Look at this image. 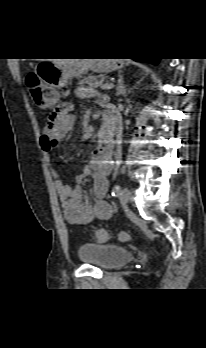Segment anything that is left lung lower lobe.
Masks as SVG:
<instances>
[{"instance_id":"obj_1","label":"left lung lower lobe","mask_w":206,"mask_h":348,"mask_svg":"<svg viewBox=\"0 0 206 348\" xmlns=\"http://www.w3.org/2000/svg\"><path fill=\"white\" fill-rule=\"evenodd\" d=\"M140 62H148V63H152V64H157L159 59L156 58H150V59H134Z\"/></svg>"}]
</instances>
